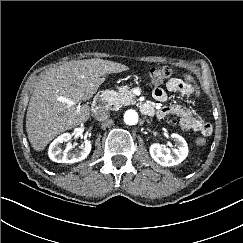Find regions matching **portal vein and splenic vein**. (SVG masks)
I'll return each mask as SVG.
<instances>
[{
  "label": "portal vein and splenic vein",
  "mask_w": 243,
  "mask_h": 243,
  "mask_svg": "<svg viewBox=\"0 0 243 243\" xmlns=\"http://www.w3.org/2000/svg\"><path fill=\"white\" fill-rule=\"evenodd\" d=\"M59 100L62 101V102H65V103H67L69 105H74L75 104V102H73V101H71L69 99H66L64 97L59 98Z\"/></svg>",
  "instance_id": "1"
}]
</instances>
